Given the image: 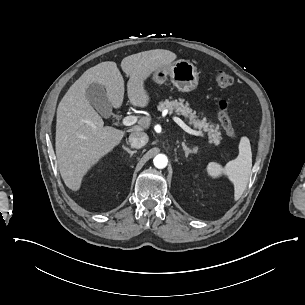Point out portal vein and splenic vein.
<instances>
[{
    "instance_id": "portal-vein-and-splenic-vein-1",
    "label": "portal vein and splenic vein",
    "mask_w": 305,
    "mask_h": 305,
    "mask_svg": "<svg viewBox=\"0 0 305 305\" xmlns=\"http://www.w3.org/2000/svg\"><path fill=\"white\" fill-rule=\"evenodd\" d=\"M174 122H176L185 132L195 135L203 136L201 131H196L187 126L179 117H173ZM137 122V116H127L123 119V124L125 126H131Z\"/></svg>"
}]
</instances>
